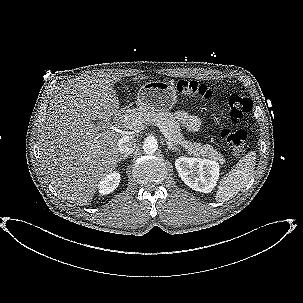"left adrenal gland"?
Wrapping results in <instances>:
<instances>
[{
    "label": "left adrenal gland",
    "mask_w": 303,
    "mask_h": 303,
    "mask_svg": "<svg viewBox=\"0 0 303 303\" xmlns=\"http://www.w3.org/2000/svg\"><path fill=\"white\" fill-rule=\"evenodd\" d=\"M166 145H167L168 150L180 152V149L178 147L174 146L171 142H169L167 140H166Z\"/></svg>",
    "instance_id": "left-adrenal-gland-1"
}]
</instances>
